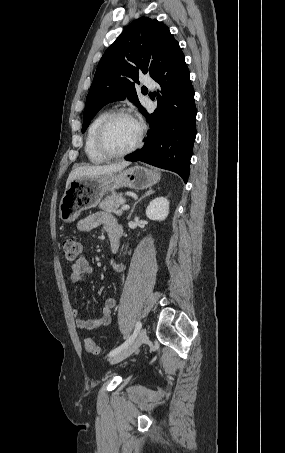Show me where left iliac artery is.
<instances>
[{
	"instance_id": "obj_1",
	"label": "left iliac artery",
	"mask_w": 285,
	"mask_h": 453,
	"mask_svg": "<svg viewBox=\"0 0 285 453\" xmlns=\"http://www.w3.org/2000/svg\"><path fill=\"white\" fill-rule=\"evenodd\" d=\"M141 326H142V323L140 321H138L136 323L135 330H134L133 334L123 344H121L119 347H117V348L113 349L112 351H110L108 356L109 357H113L116 354H118L119 352H121L123 349H125L127 346H129L134 341L136 336L138 335V333H139V331L141 329Z\"/></svg>"
}]
</instances>
